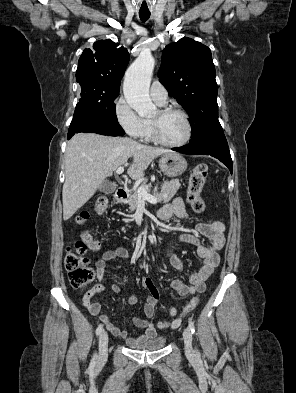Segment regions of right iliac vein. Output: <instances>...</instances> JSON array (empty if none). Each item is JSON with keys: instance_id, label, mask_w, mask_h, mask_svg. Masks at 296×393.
<instances>
[{"instance_id": "63e3f726", "label": "right iliac vein", "mask_w": 296, "mask_h": 393, "mask_svg": "<svg viewBox=\"0 0 296 393\" xmlns=\"http://www.w3.org/2000/svg\"><path fill=\"white\" fill-rule=\"evenodd\" d=\"M108 355V334L103 331L99 337V361H103Z\"/></svg>"}]
</instances>
